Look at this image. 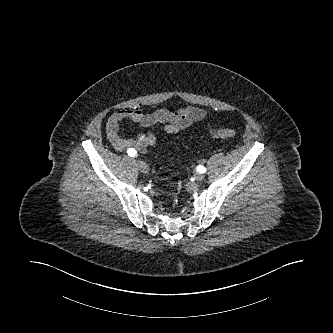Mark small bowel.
I'll return each instance as SVG.
<instances>
[{
	"instance_id": "small-bowel-1",
	"label": "small bowel",
	"mask_w": 333,
	"mask_h": 333,
	"mask_svg": "<svg viewBox=\"0 0 333 333\" xmlns=\"http://www.w3.org/2000/svg\"><path fill=\"white\" fill-rule=\"evenodd\" d=\"M204 117L205 112L196 107H184L176 111L159 108L148 113L135 108L119 109L109 116L106 122V133L117 151L130 148L144 151L155 146L157 141L155 134L147 132L133 137L122 136L119 133L121 122L131 121L144 128L160 125L161 129L167 133H179Z\"/></svg>"
}]
</instances>
